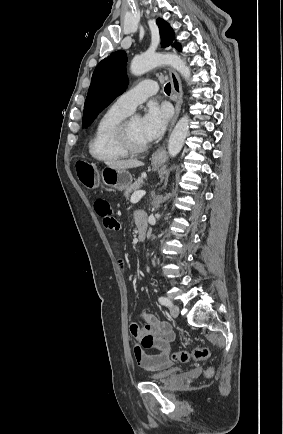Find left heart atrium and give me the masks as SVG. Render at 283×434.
<instances>
[{
  "label": "left heart atrium",
  "instance_id": "left-heart-atrium-1",
  "mask_svg": "<svg viewBox=\"0 0 283 434\" xmlns=\"http://www.w3.org/2000/svg\"><path fill=\"white\" fill-rule=\"evenodd\" d=\"M170 118L167 106L152 104L141 119V133L145 141L158 139L165 131Z\"/></svg>",
  "mask_w": 283,
  "mask_h": 434
}]
</instances>
